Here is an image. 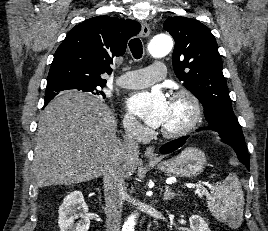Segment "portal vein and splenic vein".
<instances>
[{
  "label": "portal vein and splenic vein",
  "mask_w": 268,
  "mask_h": 231,
  "mask_svg": "<svg viewBox=\"0 0 268 231\" xmlns=\"http://www.w3.org/2000/svg\"><path fill=\"white\" fill-rule=\"evenodd\" d=\"M188 188H194V187H197V189L198 190H200V191H204V192H206V190L201 186V185H188L187 186ZM206 194H207V192H206Z\"/></svg>",
  "instance_id": "18ae733b"
}]
</instances>
